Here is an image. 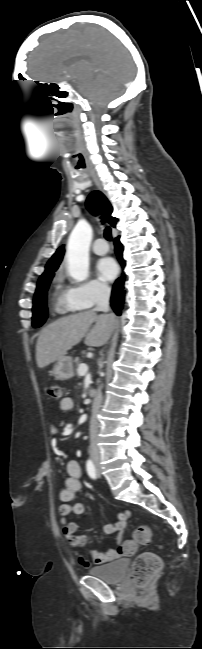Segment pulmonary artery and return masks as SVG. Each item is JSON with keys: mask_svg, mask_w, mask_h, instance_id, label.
I'll use <instances>...</instances> for the list:
<instances>
[{"mask_svg": "<svg viewBox=\"0 0 202 649\" xmlns=\"http://www.w3.org/2000/svg\"><path fill=\"white\" fill-rule=\"evenodd\" d=\"M92 251L96 255H104L109 251V247L104 239L99 238L93 243Z\"/></svg>", "mask_w": 202, "mask_h": 649, "instance_id": "pulmonary-artery-1", "label": "pulmonary artery"}]
</instances>
